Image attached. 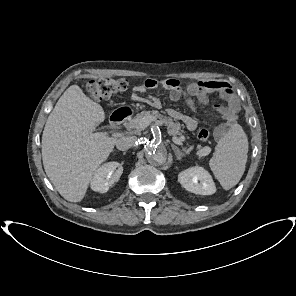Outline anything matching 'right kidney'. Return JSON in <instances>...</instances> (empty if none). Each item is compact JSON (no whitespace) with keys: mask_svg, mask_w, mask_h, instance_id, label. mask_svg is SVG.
<instances>
[{"mask_svg":"<svg viewBox=\"0 0 296 296\" xmlns=\"http://www.w3.org/2000/svg\"><path fill=\"white\" fill-rule=\"evenodd\" d=\"M123 167L118 162H108L100 166L94 173L90 186L93 191L106 193L119 180Z\"/></svg>","mask_w":296,"mask_h":296,"instance_id":"1","label":"right kidney"}]
</instances>
